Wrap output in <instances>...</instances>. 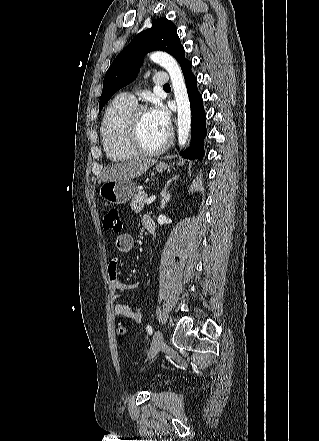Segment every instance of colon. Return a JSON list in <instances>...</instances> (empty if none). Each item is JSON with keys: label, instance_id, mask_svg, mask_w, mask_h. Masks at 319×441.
<instances>
[{"label": "colon", "instance_id": "1", "mask_svg": "<svg viewBox=\"0 0 319 441\" xmlns=\"http://www.w3.org/2000/svg\"><path fill=\"white\" fill-rule=\"evenodd\" d=\"M103 227L105 230L112 232H120L122 229V221L120 218V213L116 208L109 209L103 217ZM125 329L123 327L119 328V334L125 335Z\"/></svg>", "mask_w": 319, "mask_h": 441}]
</instances>
